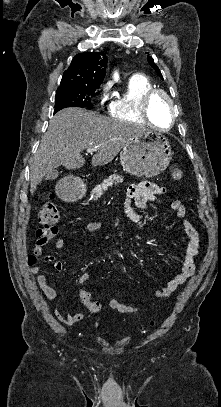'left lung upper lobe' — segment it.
<instances>
[{"label":"left lung upper lobe","instance_id":"obj_1","mask_svg":"<svg viewBox=\"0 0 221 407\" xmlns=\"http://www.w3.org/2000/svg\"><path fill=\"white\" fill-rule=\"evenodd\" d=\"M147 60H148L149 64L156 70V72L158 73V75H159L161 78H163V77H162V74H161V72H160V70H159V68L154 64L153 58H152L150 55L147 56Z\"/></svg>","mask_w":221,"mask_h":407}]
</instances>
